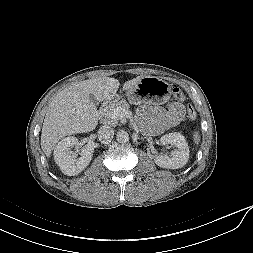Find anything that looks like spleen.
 Returning <instances> with one entry per match:
<instances>
[{"label":"spleen","mask_w":253,"mask_h":253,"mask_svg":"<svg viewBox=\"0 0 253 253\" xmlns=\"http://www.w3.org/2000/svg\"><path fill=\"white\" fill-rule=\"evenodd\" d=\"M193 139H194V142L196 144H199V142H200V136H199V132L198 131H194L193 132Z\"/></svg>","instance_id":"3e777b00"}]
</instances>
